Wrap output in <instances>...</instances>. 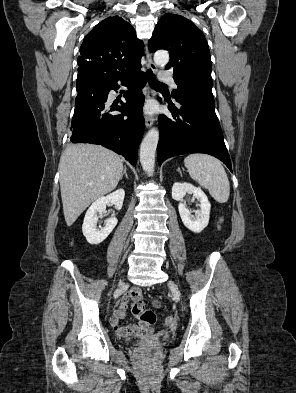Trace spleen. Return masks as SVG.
Listing matches in <instances>:
<instances>
[{"label": "spleen", "mask_w": 296, "mask_h": 393, "mask_svg": "<svg viewBox=\"0 0 296 393\" xmlns=\"http://www.w3.org/2000/svg\"><path fill=\"white\" fill-rule=\"evenodd\" d=\"M192 179L208 189L210 195L219 203L228 201L230 184L220 161L205 154H191L184 159Z\"/></svg>", "instance_id": "obj_1"}]
</instances>
